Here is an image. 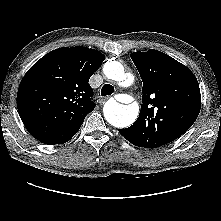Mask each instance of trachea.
<instances>
[{
  "mask_svg": "<svg viewBox=\"0 0 221 221\" xmlns=\"http://www.w3.org/2000/svg\"><path fill=\"white\" fill-rule=\"evenodd\" d=\"M114 92V87L110 84H105L101 89V95H111Z\"/></svg>",
  "mask_w": 221,
  "mask_h": 221,
  "instance_id": "1",
  "label": "trachea"
}]
</instances>
